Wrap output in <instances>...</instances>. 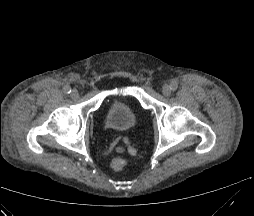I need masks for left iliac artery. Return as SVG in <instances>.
I'll return each mask as SVG.
<instances>
[{"instance_id": "left-iliac-artery-1", "label": "left iliac artery", "mask_w": 254, "mask_h": 216, "mask_svg": "<svg viewBox=\"0 0 254 216\" xmlns=\"http://www.w3.org/2000/svg\"><path fill=\"white\" fill-rule=\"evenodd\" d=\"M171 90L175 91L178 88V83L177 82H172L170 84Z\"/></svg>"}]
</instances>
